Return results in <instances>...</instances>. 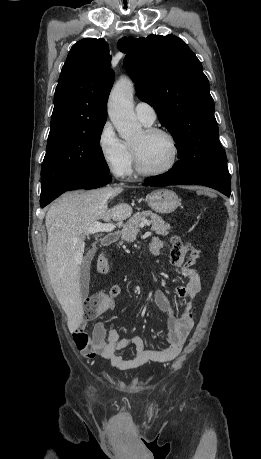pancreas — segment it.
Returning a JSON list of instances; mask_svg holds the SVG:
<instances>
[{
  "label": "pancreas",
  "instance_id": "pancreas-1",
  "mask_svg": "<svg viewBox=\"0 0 261 459\" xmlns=\"http://www.w3.org/2000/svg\"><path fill=\"white\" fill-rule=\"evenodd\" d=\"M151 219V230L155 231L156 234L166 236L171 226L164 222V220L157 214L151 211H142L134 214L129 221L123 226L121 232V239L126 242H133L136 240V236L139 232L140 223L145 218Z\"/></svg>",
  "mask_w": 261,
  "mask_h": 459
}]
</instances>
